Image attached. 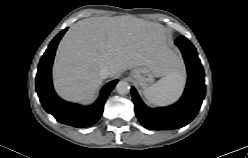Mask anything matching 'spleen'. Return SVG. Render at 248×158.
Returning a JSON list of instances; mask_svg holds the SVG:
<instances>
[{"label":"spleen","instance_id":"spleen-1","mask_svg":"<svg viewBox=\"0 0 248 158\" xmlns=\"http://www.w3.org/2000/svg\"><path fill=\"white\" fill-rule=\"evenodd\" d=\"M185 72L182 67H175L158 82L143 91L148 103L165 106L176 101L184 88Z\"/></svg>","mask_w":248,"mask_h":158}]
</instances>
